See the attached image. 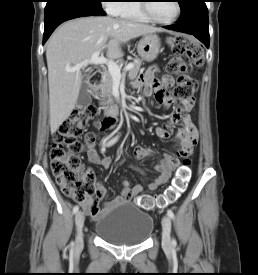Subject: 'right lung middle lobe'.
I'll return each instance as SVG.
<instances>
[{
  "instance_id": "obj_1",
  "label": "right lung middle lobe",
  "mask_w": 258,
  "mask_h": 275,
  "mask_svg": "<svg viewBox=\"0 0 258 275\" xmlns=\"http://www.w3.org/2000/svg\"><path fill=\"white\" fill-rule=\"evenodd\" d=\"M58 1H62V0H48L47 5H51ZM81 1H86V2H89V3L97 5V6H101V2H102V0H81Z\"/></svg>"
}]
</instances>
